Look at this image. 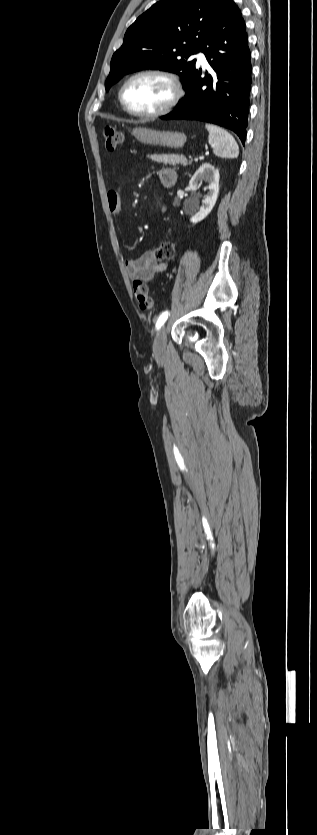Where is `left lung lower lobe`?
<instances>
[{
  "mask_svg": "<svg viewBox=\"0 0 317 835\" xmlns=\"http://www.w3.org/2000/svg\"><path fill=\"white\" fill-rule=\"evenodd\" d=\"M200 51L214 76L205 73L202 77V69L196 68L184 87V98L161 119L214 123L234 131L244 144L252 66L245 22L233 0Z\"/></svg>",
  "mask_w": 317,
  "mask_h": 835,
  "instance_id": "1",
  "label": "left lung lower lobe"
}]
</instances>
